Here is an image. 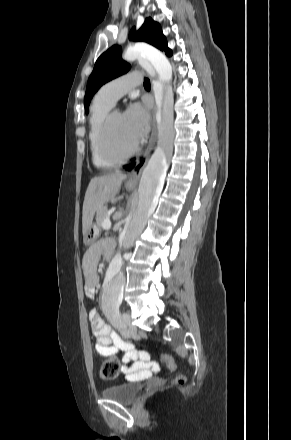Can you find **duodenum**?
I'll return each mask as SVG.
<instances>
[{
    "mask_svg": "<svg viewBox=\"0 0 291 440\" xmlns=\"http://www.w3.org/2000/svg\"><path fill=\"white\" fill-rule=\"evenodd\" d=\"M106 256H107V258H108L109 260H111V258H112V252L108 253Z\"/></svg>",
    "mask_w": 291,
    "mask_h": 440,
    "instance_id": "410a0bca",
    "label": "duodenum"
}]
</instances>
